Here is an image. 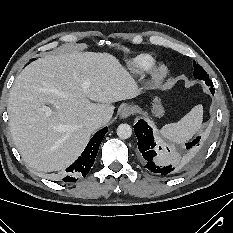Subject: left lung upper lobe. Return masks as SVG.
Instances as JSON below:
<instances>
[{
	"label": "left lung upper lobe",
	"mask_w": 233,
	"mask_h": 233,
	"mask_svg": "<svg viewBox=\"0 0 233 233\" xmlns=\"http://www.w3.org/2000/svg\"><path fill=\"white\" fill-rule=\"evenodd\" d=\"M194 66V77L199 79V80H204L206 78H209L207 75L206 71L199 65L193 62Z\"/></svg>",
	"instance_id": "5c2ea615"
}]
</instances>
